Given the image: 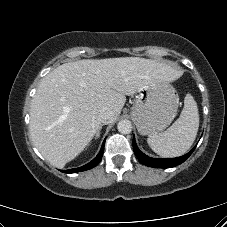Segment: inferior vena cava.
<instances>
[{
  "mask_svg": "<svg viewBox=\"0 0 227 227\" xmlns=\"http://www.w3.org/2000/svg\"><path fill=\"white\" fill-rule=\"evenodd\" d=\"M113 116H114V113L109 109H103L100 112V119H101V122L104 124L111 123Z\"/></svg>",
  "mask_w": 227,
  "mask_h": 227,
  "instance_id": "obj_1",
  "label": "inferior vena cava"
}]
</instances>
